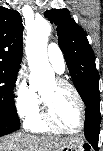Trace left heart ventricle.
I'll return each mask as SVG.
<instances>
[{
    "label": "left heart ventricle",
    "mask_w": 103,
    "mask_h": 151,
    "mask_svg": "<svg viewBox=\"0 0 103 151\" xmlns=\"http://www.w3.org/2000/svg\"><path fill=\"white\" fill-rule=\"evenodd\" d=\"M48 102L54 122L62 128L75 130L81 124V112L74 94L53 81L41 90Z\"/></svg>",
    "instance_id": "b2bd125f"
}]
</instances>
